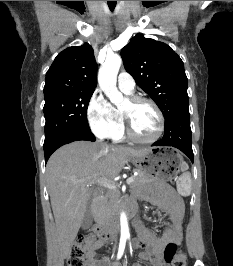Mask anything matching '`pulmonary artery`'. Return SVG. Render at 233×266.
Wrapping results in <instances>:
<instances>
[{"label": "pulmonary artery", "instance_id": "pulmonary-artery-1", "mask_svg": "<svg viewBox=\"0 0 233 266\" xmlns=\"http://www.w3.org/2000/svg\"><path fill=\"white\" fill-rule=\"evenodd\" d=\"M118 87L126 94H132L135 90V81L127 72H122L118 76Z\"/></svg>", "mask_w": 233, "mask_h": 266}]
</instances>
